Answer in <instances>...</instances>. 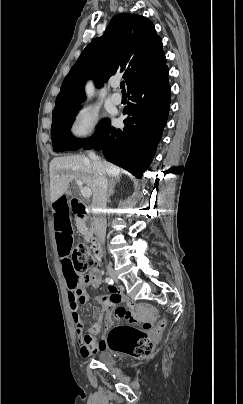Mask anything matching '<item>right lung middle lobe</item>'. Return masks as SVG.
Returning a JSON list of instances; mask_svg holds the SVG:
<instances>
[{"label":"right lung middle lobe","instance_id":"obj_1","mask_svg":"<svg viewBox=\"0 0 243 404\" xmlns=\"http://www.w3.org/2000/svg\"><path fill=\"white\" fill-rule=\"evenodd\" d=\"M78 107L79 106L60 111L53 115L51 136L54 151L60 152L66 150H78L98 136L105 126L108 125V119L101 121L96 134L92 138L78 142L77 139H75L70 133V126L72 120L78 113Z\"/></svg>","mask_w":243,"mask_h":404}]
</instances>
